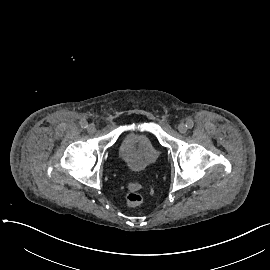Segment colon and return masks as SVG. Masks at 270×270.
I'll list each match as a JSON object with an SVG mask.
<instances>
[{
	"label": "colon",
	"mask_w": 270,
	"mask_h": 270,
	"mask_svg": "<svg viewBox=\"0 0 270 270\" xmlns=\"http://www.w3.org/2000/svg\"><path fill=\"white\" fill-rule=\"evenodd\" d=\"M125 199L128 205L137 206L142 203L143 197L139 191L129 190L125 195Z\"/></svg>",
	"instance_id": "colon-1"
}]
</instances>
